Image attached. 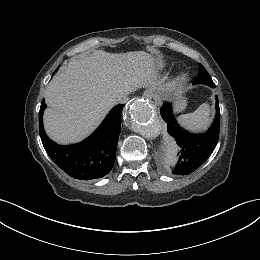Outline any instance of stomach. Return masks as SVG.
<instances>
[{
	"label": "stomach",
	"instance_id": "stomach-1",
	"mask_svg": "<svg viewBox=\"0 0 260 260\" xmlns=\"http://www.w3.org/2000/svg\"><path fill=\"white\" fill-rule=\"evenodd\" d=\"M187 107V98L182 94L174 96V111L176 113L182 112Z\"/></svg>",
	"mask_w": 260,
	"mask_h": 260
}]
</instances>
